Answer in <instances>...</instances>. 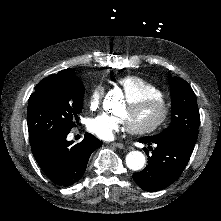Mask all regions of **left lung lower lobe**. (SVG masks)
<instances>
[{
    "instance_id": "obj_1",
    "label": "left lung lower lobe",
    "mask_w": 221,
    "mask_h": 221,
    "mask_svg": "<svg viewBox=\"0 0 221 221\" xmlns=\"http://www.w3.org/2000/svg\"><path fill=\"white\" fill-rule=\"evenodd\" d=\"M139 142L156 144L152 156H148L146 168L133 174L137 185L148 192L162 190L175 182L186 167L195 145L175 135L147 136ZM144 151L149 154L146 148Z\"/></svg>"
}]
</instances>
